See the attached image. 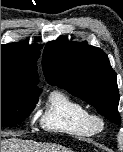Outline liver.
<instances>
[{"instance_id":"obj_1","label":"liver","mask_w":123,"mask_h":152,"mask_svg":"<svg viewBox=\"0 0 123 152\" xmlns=\"http://www.w3.org/2000/svg\"><path fill=\"white\" fill-rule=\"evenodd\" d=\"M1 152H72L71 150L48 143L8 138L1 140Z\"/></svg>"}]
</instances>
